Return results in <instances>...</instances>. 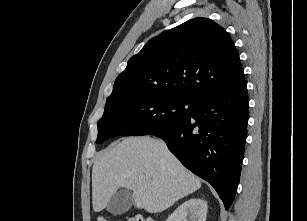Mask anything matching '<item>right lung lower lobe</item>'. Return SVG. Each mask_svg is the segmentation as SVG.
<instances>
[{"label":"right lung lower lobe","mask_w":307,"mask_h":221,"mask_svg":"<svg viewBox=\"0 0 307 221\" xmlns=\"http://www.w3.org/2000/svg\"><path fill=\"white\" fill-rule=\"evenodd\" d=\"M248 123L247 87L194 102L191 114L153 135L217 191L226 209L237 191Z\"/></svg>","instance_id":"right-lung-lower-lobe-1"}]
</instances>
